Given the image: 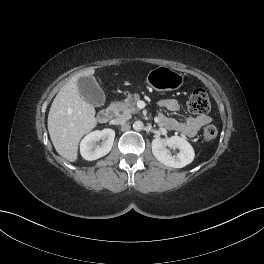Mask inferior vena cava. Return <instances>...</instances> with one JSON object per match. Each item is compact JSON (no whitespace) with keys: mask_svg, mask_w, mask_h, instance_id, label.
<instances>
[{"mask_svg":"<svg viewBox=\"0 0 264 264\" xmlns=\"http://www.w3.org/2000/svg\"><path fill=\"white\" fill-rule=\"evenodd\" d=\"M129 119L127 115H120L118 118L112 120L113 124H123Z\"/></svg>","mask_w":264,"mask_h":264,"instance_id":"1","label":"inferior vena cava"}]
</instances>
